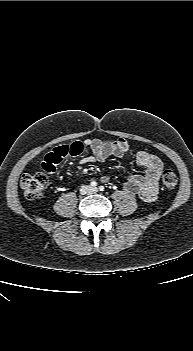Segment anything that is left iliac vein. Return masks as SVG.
<instances>
[{"mask_svg": "<svg viewBox=\"0 0 193 351\" xmlns=\"http://www.w3.org/2000/svg\"><path fill=\"white\" fill-rule=\"evenodd\" d=\"M97 191H98V189H97L96 187H94V188L91 189V192H92V193H96Z\"/></svg>", "mask_w": 193, "mask_h": 351, "instance_id": "obj_1", "label": "left iliac vein"}]
</instances>
